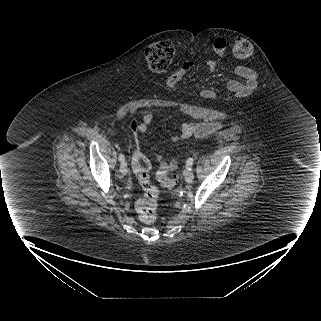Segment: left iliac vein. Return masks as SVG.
<instances>
[{"label":"left iliac vein","instance_id":"4c4485c4","mask_svg":"<svg viewBox=\"0 0 321 321\" xmlns=\"http://www.w3.org/2000/svg\"><path fill=\"white\" fill-rule=\"evenodd\" d=\"M193 179H194V174H193L192 169H187L185 171V180H186V182L187 183H192Z\"/></svg>","mask_w":321,"mask_h":321}]
</instances>
